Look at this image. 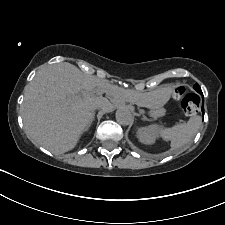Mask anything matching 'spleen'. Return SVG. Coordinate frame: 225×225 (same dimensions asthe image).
<instances>
[{"mask_svg":"<svg viewBox=\"0 0 225 225\" xmlns=\"http://www.w3.org/2000/svg\"><path fill=\"white\" fill-rule=\"evenodd\" d=\"M200 125L201 118L193 116L186 123L177 124L172 128H161L159 134L164 141H170L171 149L174 150L187 144L197 133Z\"/></svg>","mask_w":225,"mask_h":225,"instance_id":"3e777b00","label":"spleen"}]
</instances>
